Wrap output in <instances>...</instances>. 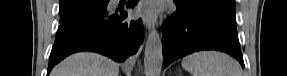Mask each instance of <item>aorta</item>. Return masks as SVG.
<instances>
[{"instance_id":"obj_1","label":"aorta","mask_w":287,"mask_h":76,"mask_svg":"<svg viewBox=\"0 0 287 76\" xmlns=\"http://www.w3.org/2000/svg\"><path fill=\"white\" fill-rule=\"evenodd\" d=\"M163 63L162 41L157 30L149 32L145 53L144 72L146 76H160Z\"/></svg>"}]
</instances>
